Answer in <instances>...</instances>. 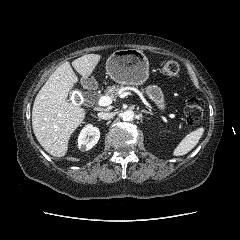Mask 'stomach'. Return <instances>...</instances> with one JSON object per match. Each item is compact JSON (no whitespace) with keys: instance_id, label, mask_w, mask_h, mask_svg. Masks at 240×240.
Returning <instances> with one entry per match:
<instances>
[{"instance_id":"obj_1","label":"stomach","mask_w":240,"mask_h":240,"mask_svg":"<svg viewBox=\"0 0 240 240\" xmlns=\"http://www.w3.org/2000/svg\"><path fill=\"white\" fill-rule=\"evenodd\" d=\"M107 74L122 85H142L149 78L147 57L137 49L115 51L106 62ZM146 94L159 109H165L164 95L160 87L150 85L145 88Z\"/></svg>"}]
</instances>
